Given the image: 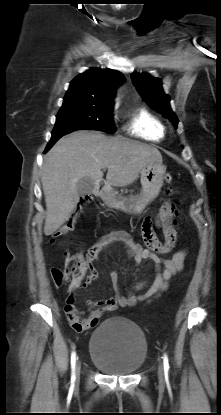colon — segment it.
Returning <instances> with one entry per match:
<instances>
[{
    "label": "colon",
    "mask_w": 221,
    "mask_h": 415,
    "mask_svg": "<svg viewBox=\"0 0 221 415\" xmlns=\"http://www.w3.org/2000/svg\"><path fill=\"white\" fill-rule=\"evenodd\" d=\"M165 181L170 183L172 181V176L170 174L165 175ZM171 190L168 189V193ZM174 215L171 212L169 202H165L160 211L158 220L160 223L172 221ZM74 229V221L71 219L62 225L52 237V242H55L57 239L64 237L71 233ZM89 262L88 254L83 255L81 253H74L66 257L64 264L61 268L54 267L51 269V276L55 286L60 287L68 279L71 278L70 287H76L84 285L83 279L85 276V271L87 264Z\"/></svg>",
    "instance_id": "obj_1"
}]
</instances>
